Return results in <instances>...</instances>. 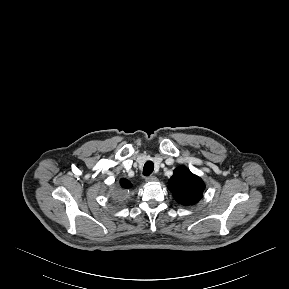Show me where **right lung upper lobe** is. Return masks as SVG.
<instances>
[{
  "label": "right lung upper lobe",
  "mask_w": 289,
  "mask_h": 289,
  "mask_svg": "<svg viewBox=\"0 0 289 289\" xmlns=\"http://www.w3.org/2000/svg\"><path fill=\"white\" fill-rule=\"evenodd\" d=\"M121 185L124 188H130L132 187V184L130 183V181H128L127 179H121Z\"/></svg>",
  "instance_id": "right-lung-upper-lobe-1"
}]
</instances>
